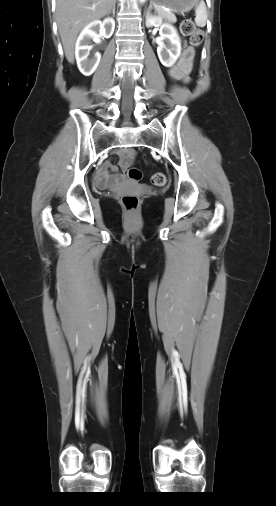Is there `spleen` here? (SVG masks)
I'll return each mask as SVG.
<instances>
[{
  "label": "spleen",
  "instance_id": "spleen-1",
  "mask_svg": "<svg viewBox=\"0 0 276 506\" xmlns=\"http://www.w3.org/2000/svg\"><path fill=\"white\" fill-rule=\"evenodd\" d=\"M195 23L198 27H204L207 21V10L203 0L200 1L199 5L195 10Z\"/></svg>",
  "mask_w": 276,
  "mask_h": 506
}]
</instances>
